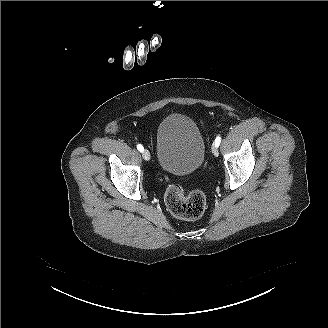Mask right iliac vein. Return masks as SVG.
Segmentation results:
<instances>
[{
    "label": "right iliac vein",
    "instance_id": "1",
    "mask_svg": "<svg viewBox=\"0 0 328 328\" xmlns=\"http://www.w3.org/2000/svg\"><path fill=\"white\" fill-rule=\"evenodd\" d=\"M142 156H143L145 161H149L150 158H151V154L147 149L142 151Z\"/></svg>",
    "mask_w": 328,
    "mask_h": 328
}]
</instances>
